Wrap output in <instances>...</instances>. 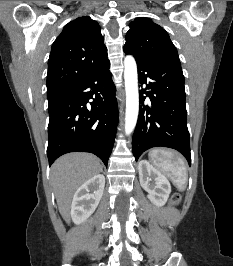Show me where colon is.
Returning <instances> with one entry per match:
<instances>
[{
    "instance_id": "5ec220e1",
    "label": "colon",
    "mask_w": 233,
    "mask_h": 266,
    "mask_svg": "<svg viewBox=\"0 0 233 266\" xmlns=\"http://www.w3.org/2000/svg\"><path fill=\"white\" fill-rule=\"evenodd\" d=\"M181 198L178 194H174L171 198V202L173 204H178L180 202Z\"/></svg>"
}]
</instances>
